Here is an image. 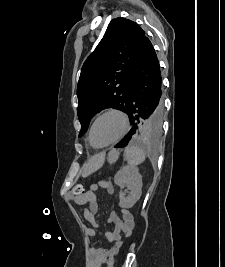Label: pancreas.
<instances>
[{"instance_id":"1","label":"pancreas","mask_w":225,"mask_h":267,"mask_svg":"<svg viewBox=\"0 0 225 267\" xmlns=\"http://www.w3.org/2000/svg\"><path fill=\"white\" fill-rule=\"evenodd\" d=\"M115 160H110V162L112 163V162H114Z\"/></svg>"}]
</instances>
